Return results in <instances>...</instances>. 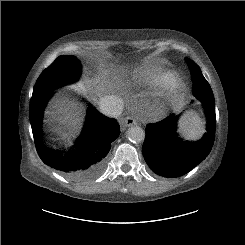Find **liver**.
I'll return each instance as SVG.
<instances>
[{
  "label": "liver",
  "instance_id": "liver-1",
  "mask_svg": "<svg viewBox=\"0 0 245 245\" xmlns=\"http://www.w3.org/2000/svg\"><path fill=\"white\" fill-rule=\"evenodd\" d=\"M54 110L51 114L54 117L57 116L56 119L59 120V123L63 124L65 128H71L72 131L63 135V137L68 136L73 133V131H77L80 125V118L77 116L79 112L75 111L74 104L68 102L65 99H57L53 105ZM75 111V112H74Z\"/></svg>",
  "mask_w": 245,
  "mask_h": 245
}]
</instances>
